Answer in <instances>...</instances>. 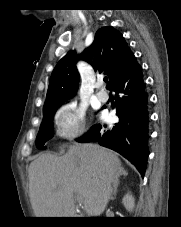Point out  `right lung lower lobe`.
Returning a JSON list of instances; mask_svg holds the SVG:
<instances>
[{"instance_id":"1","label":"right lung lower lobe","mask_w":181,"mask_h":227,"mask_svg":"<svg viewBox=\"0 0 181 227\" xmlns=\"http://www.w3.org/2000/svg\"><path fill=\"white\" fill-rule=\"evenodd\" d=\"M120 95L115 101L120 121L112 129L94 125L79 142H98L113 149L131 161L143 176L148 150V95L145 91L142 69L134 55L127 58L122 71L109 86Z\"/></svg>"}]
</instances>
